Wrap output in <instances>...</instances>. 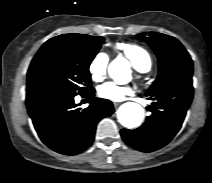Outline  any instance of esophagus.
Masks as SVG:
<instances>
[{
    "instance_id": "obj_1",
    "label": "esophagus",
    "mask_w": 212,
    "mask_h": 183,
    "mask_svg": "<svg viewBox=\"0 0 212 183\" xmlns=\"http://www.w3.org/2000/svg\"><path fill=\"white\" fill-rule=\"evenodd\" d=\"M113 105H114V107H118L120 104L117 102H114Z\"/></svg>"
}]
</instances>
